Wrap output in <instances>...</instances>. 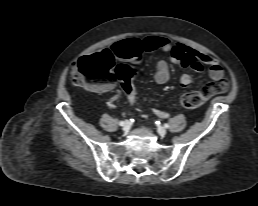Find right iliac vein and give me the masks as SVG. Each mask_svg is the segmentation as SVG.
Here are the masks:
<instances>
[{
	"instance_id": "right-iliac-vein-1",
	"label": "right iliac vein",
	"mask_w": 258,
	"mask_h": 206,
	"mask_svg": "<svg viewBox=\"0 0 258 206\" xmlns=\"http://www.w3.org/2000/svg\"><path fill=\"white\" fill-rule=\"evenodd\" d=\"M130 129V123L128 121L124 122L123 126H122V130L124 132H128Z\"/></svg>"
}]
</instances>
